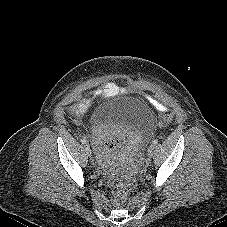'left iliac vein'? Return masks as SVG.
<instances>
[{"mask_svg": "<svg viewBox=\"0 0 227 227\" xmlns=\"http://www.w3.org/2000/svg\"><path fill=\"white\" fill-rule=\"evenodd\" d=\"M154 149H155V147H154V145H151L149 148H148V151H147V155H148V157H153V155H154Z\"/></svg>", "mask_w": 227, "mask_h": 227, "instance_id": "left-iliac-vein-1", "label": "left iliac vein"}]
</instances>
